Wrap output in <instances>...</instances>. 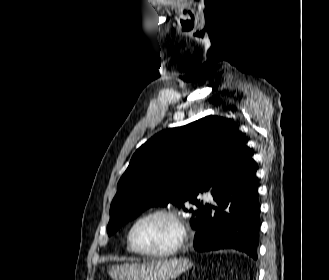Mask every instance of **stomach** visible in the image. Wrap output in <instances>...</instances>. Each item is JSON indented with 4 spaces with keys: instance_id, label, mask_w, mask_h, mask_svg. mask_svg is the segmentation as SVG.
Instances as JSON below:
<instances>
[{
    "instance_id": "stomach-1",
    "label": "stomach",
    "mask_w": 329,
    "mask_h": 280,
    "mask_svg": "<svg viewBox=\"0 0 329 280\" xmlns=\"http://www.w3.org/2000/svg\"><path fill=\"white\" fill-rule=\"evenodd\" d=\"M192 266L188 259H164L147 263L113 265L108 274L113 280H173Z\"/></svg>"
}]
</instances>
